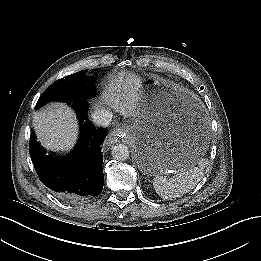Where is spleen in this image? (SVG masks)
Wrapping results in <instances>:
<instances>
[{"mask_svg": "<svg viewBox=\"0 0 261 261\" xmlns=\"http://www.w3.org/2000/svg\"><path fill=\"white\" fill-rule=\"evenodd\" d=\"M208 165V160L202 158L197 167L183 170L175 176L167 179L157 175L153 179L156 193L163 199H172L182 196L192 190L203 177V169Z\"/></svg>", "mask_w": 261, "mask_h": 261, "instance_id": "1", "label": "spleen"}]
</instances>
